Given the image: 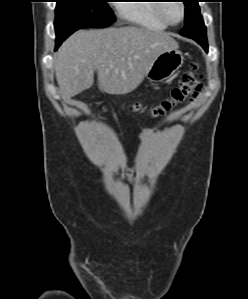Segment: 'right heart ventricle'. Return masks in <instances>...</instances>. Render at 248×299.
I'll list each match as a JSON object with an SVG mask.
<instances>
[{
	"mask_svg": "<svg viewBox=\"0 0 248 299\" xmlns=\"http://www.w3.org/2000/svg\"><path fill=\"white\" fill-rule=\"evenodd\" d=\"M119 5V14L126 21L148 29L166 30L167 25L157 14L158 0L133 1Z\"/></svg>",
	"mask_w": 248,
	"mask_h": 299,
	"instance_id": "1",
	"label": "right heart ventricle"
}]
</instances>
